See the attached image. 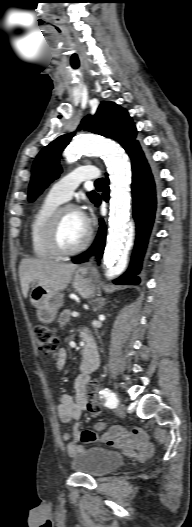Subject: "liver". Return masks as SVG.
Segmentation results:
<instances>
[{"label": "liver", "instance_id": "6515ba94", "mask_svg": "<svg viewBox=\"0 0 192 527\" xmlns=\"http://www.w3.org/2000/svg\"><path fill=\"white\" fill-rule=\"evenodd\" d=\"M77 268L76 264L45 258L22 259L19 265V277L24 298L28 296L31 283H39L52 292L65 290Z\"/></svg>", "mask_w": 192, "mask_h": 527}]
</instances>
